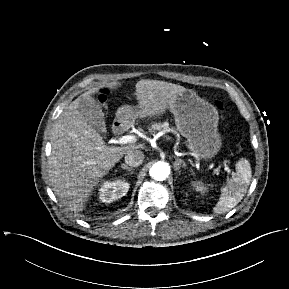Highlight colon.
Returning a JSON list of instances; mask_svg holds the SVG:
<instances>
[{
  "label": "colon",
  "instance_id": "colon-1",
  "mask_svg": "<svg viewBox=\"0 0 289 289\" xmlns=\"http://www.w3.org/2000/svg\"><path fill=\"white\" fill-rule=\"evenodd\" d=\"M106 92L103 91L102 94L100 95L101 101L104 102L106 99L105 96ZM215 107L217 108L218 111L223 112L224 111V104L221 101H216L215 102Z\"/></svg>",
  "mask_w": 289,
  "mask_h": 289
}]
</instances>
